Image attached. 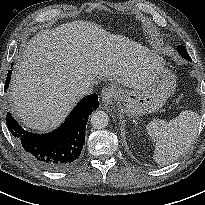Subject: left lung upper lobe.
<instances>
[{
  "label": "left lung upper lobe",
  "mask_w": 205,
  "mask_h": 205,
  "mask_svg": "<svg viewBox=\"0 0 205 205\" xmlns=\"http://www.w3.org/2000/svg\"><path fill=\"white\" fill-rule=\"evenodd\" d=\"M177 50L183 58H185L187 60H191L190 56L188 55V53H187L186 49L183 47V45L178 46Z\"/></svg>",
  "instance_id": "left-lung-upper-lobe-1"
}]
</instances>
